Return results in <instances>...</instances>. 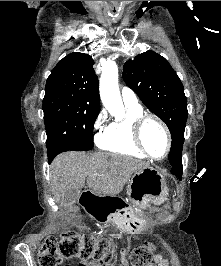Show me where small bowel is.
Here are the masks:
<instances>
[{
    "instance_id": "obj_1",
    "label": "small bowel",
    "mask_w": 221,
    "mask_h": 266,
    "mask_svg": "<svg viewBox=\"0 0 221 266\" xmlns=\"http://www.w3.org/2000/svg\"><path fill=\"white\" fill-rule=\"evenodd\" d=\"M120 254L122 257V266H128V261L126 259L127 250L125 247L121 250ZM79 266H101V265L96 261H83L80 263ZM151 266H169V263L162 255L155 254L154 263Z\"/></svg>"
}]
</instances>
